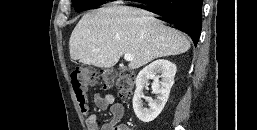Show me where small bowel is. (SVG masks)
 Returning <instances> with one entry per match:
<instances>
[{
    "label": "small bowel",
    "instance_id": "c3829d8e",
    "mask_svg": "<svg viewBox=\"0 0 257 130\" xmlns=\"http://www.w3.org/2000/svg\"><path fill=\"white\" fill-rule=\"evenodd\" d=\"M77 101L85 118L87 130H132L126 124H120L125 109L121 103L115 101L114 96L110 94L105 96L96 94L94 97V103L99 110L106 111L109 109L110 111L109 121L101 127L98 125L97 117L90 113L87 98L85 97L83 101L77 99Z\"/></svg>",
    "mask_w": 257,
    "mask_h": 130
}]
</instances>
